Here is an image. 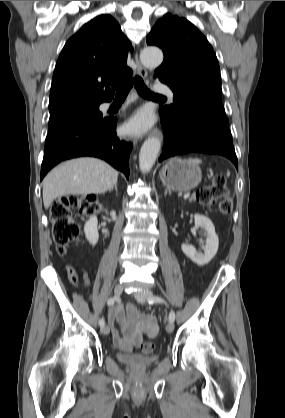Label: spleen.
Returning a JSON list of instances; mask_svg holds the SVG:
<instances>
[{
  "instance_id": "3e777b00",
  "label": "spleen",
  "mask_w": 285,
  "mask_h": 418,
  "mask_svg": "<svg viewBox=\"0 0 285 418\" xmlns=\"http://www.w3.org/2000/svg\"><path fill=\"white\" fill-rule=\"evenodd\" d=\"M188 162L194 163V164H199L202 163V160L198 159V158H189Z\"/></svg>"
}]
</instances>
